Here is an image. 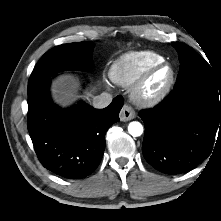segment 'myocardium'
<instances>
[{"label": "myocardium", "instance_id": "obj_1", "mask_svg": "<svg viewBox=\"0 0 221 221\" xmlns=\"http://www.w3.org/2000/svg\"><path fill=\"white\" fill-rule=\"evenodd\" d=\"M168 68L170 76L166 84L156 93L147 94V86L152 76L160 69ZM176 78L173 65L167 61H162L149 67L134 84L131 96L134 102L142 107H153L162 102L170 93Z\"/></svg>", "mask_w": 221, "mask_h": 221}]
</instances>
